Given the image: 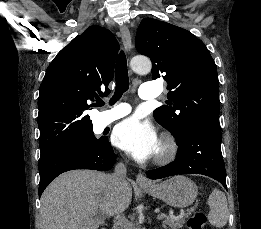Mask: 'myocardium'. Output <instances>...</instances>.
<instances>
[{
    "instance_id": "obj_1",
    "label": "myocardium",
    "mask_w": 261,
    "mask_h": 229,
    "mask_svg": "<svg viewBox=\"0 0 261 229\" xmlns=\"http://www.w3.org/2000/svg\"><path fill=\"white\" fill-rule=\"evenodd\" d=\"M178 153V147L175 139L168 133L162 135L159 147L154 156V163L165 165L175 159Z\"/></svg>"
}]
</instances>
